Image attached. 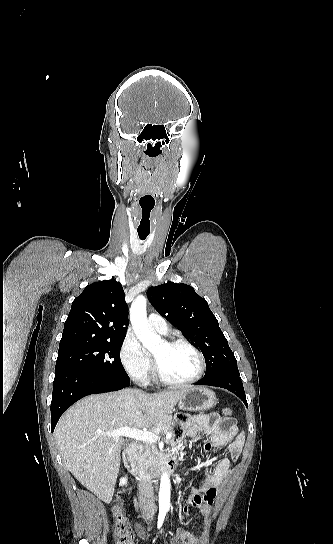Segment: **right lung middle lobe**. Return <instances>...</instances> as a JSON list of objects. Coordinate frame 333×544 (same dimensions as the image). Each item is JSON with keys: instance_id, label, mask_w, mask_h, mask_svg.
Masks as SVG:
<instances>
[{"instance_id": "obj_1", "label": "right lung middle lobe", "mask_w": 333, "mask_h": 544, "mask_svg": "<svg viewBox=\"0 0 333 544\" xmlns=\"http://www.w3.org/2000/svg\"><path fill=\"white\" fill-rule=\"evenodd\" d=\"M124 338L104 339L59 348L55 369L68 367L89 372L100 378L129 380L120 360Z\"/></svg>"}]
</instances>
